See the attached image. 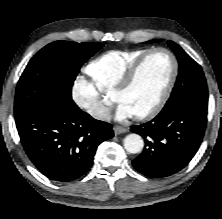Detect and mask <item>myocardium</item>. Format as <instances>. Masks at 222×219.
Masks as SVG:
<instances>
[{
    "label": "myocardium",
    "instance_id": "1",
    "mask_svg": "<svg viewBox=\"0 0 222 219\" xmlns=\"http://www.w3.org/2000/svg\"><path fill=\"white\" fill-rule=\"evenodd\" d=\"M157 52H164L170 57L171 63H172L170 77L165 87V90L163 94L161 95L160 99L158 100V102L146 112L135 115V118L137 120H147V119L155 117L161 112V110L166 105L173 91V88H174V85L178 76L179 63H178L176 55L170 49L165 48V47H155V48H151L147 50L128 67V69L125 71V73L121 77L118 85L113 90V94L115 98L119 96L120 94H122L123 92H125L126 90H128L133 84L136 78V75L141 65L143 64V62L150 55Z\"/></svg>",
    "mask_w": 222,
    "mask_h": 219
}]
</instances>
